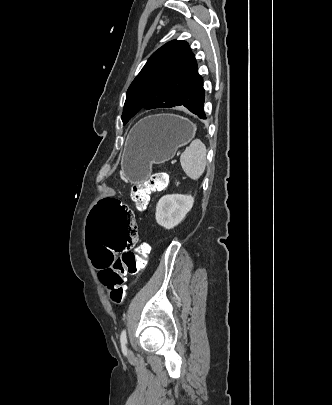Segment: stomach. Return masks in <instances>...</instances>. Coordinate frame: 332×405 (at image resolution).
I'll return each mask as SVG.
<instances>
[{
    "label": "stomach",
    "instance_id": "1",
    "mask_svg": "<svg viewBox=\"0 0 332 405\" xmlns=\"http://www.w3.org/2000/svg\"><path fill=\"white\" fill-rule=\"evenodd\" d=\"M196 126L189 120L162 114L148 116L131 129L121 160V170L133 184L145 182L152 164L171 160L178 148L189 144Z\"/></svg>",
    "mask_w": 332,
    "mask_h": 405
}]
</instances>
